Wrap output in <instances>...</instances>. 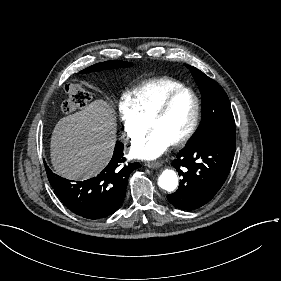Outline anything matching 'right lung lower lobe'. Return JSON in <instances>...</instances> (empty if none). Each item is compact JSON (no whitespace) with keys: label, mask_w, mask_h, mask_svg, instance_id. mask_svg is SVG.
<instances>
[{"label":"right lung lower lobe","mask_w":281,"mask_h":281,"mask_svg":"<svg viewBox=\"0 0 281 281\" xmlns=\"http://www.w3.org/2000/svg\"><path fill=\"white\" fill-rule=\"evenodd\" d=\"M124 145L117 142L114 154L96 177L85 181H70L46 166L47 176L63 204L73 213L87 219H99L113 214L121 205L130 173L139 163L125 164Z\"/></svg>","instance_id":"obj_1"}]
</instances>
